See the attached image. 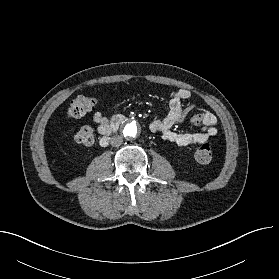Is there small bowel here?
Wrapping results in <instances>:
<instances>
[{
    "label": "small bowel",
    "mask_w": 279,
    "mask_h": 279,
    "mask_svg": "<svg viewBox=\"0 0 279 279\" xmlns=\"http://www.w3.org/2000/svg\"><path fill=\"white\" fill-rule=\"evenodd\" d=\"M190 97L191 91L188 89L174 91L169 101L168 113L164 118L151 122V131L158 133L164 141L174 143L178 146L202 144L214 137L217 134V128L215 127L217 118L209 111H202L194 115L191 119L193 125L203 126L202 131L197 133H177L173 131V126L181 122L188 112L196 108L194 104L183 108L182 102ZM93 118L100 134H107L112 121L100 111L96 112Z\"/></svg>",
    "instance_id": "1"
}]
</instances>
